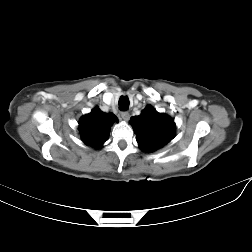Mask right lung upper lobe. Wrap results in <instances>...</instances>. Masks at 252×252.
I'll return each mask as SVG.
<instances>
[{
  "label": "right lung upper lobe",
  "mask_w": 252,
  "mask_h": 252,
  "mask_svg": "<svg viewBox=\"0 0 252 252\" xmlns=\"http://www.w3.org/2000/svg\"><path fill=\"white\" fill-rule=\"evenodd\" d=\"M118 119L112 113L102 112L98 106L79 120L82 141L94 148L101 147L109 137L110 127Z\"/></svg>",
  "instance_id": "obj_1"
}]
</instances>
